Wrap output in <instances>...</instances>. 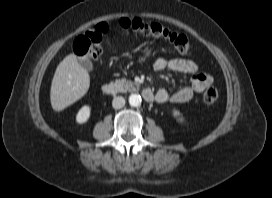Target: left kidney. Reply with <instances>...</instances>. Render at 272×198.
<instances>
[{"label":"left kidney","mask_w":272,"mask_h":198,"mask_svg":"<svg viewBox=\"0 0 272 198\" xmlns=\"http://www.w3.org/2000/svg\"><path fill=\"white\" fill-rule=\"evenodd\" d=\"M173 116L176 117L179 122L184 121V119L180 117V112L178 110H173Z\"/></svg>","instance_id":"obj_1"}]
</instances>
